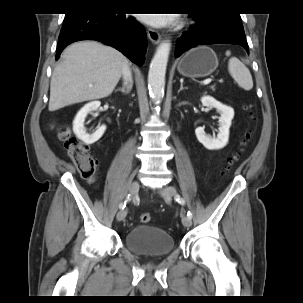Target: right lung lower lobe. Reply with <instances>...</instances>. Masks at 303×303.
<instances>
[{
	"mask_svg": "<svg viewBox=\"0 0 303 303\" xmlns=\"http://www.w3.org/2000/svg\"><path fill=\"white\" fill-rule=\"evenodd\" d=\"M80 40L110 45L139 66L143 64L147 48L145 29L134 18L95 8L66 14L56 60L67 45Z\"/></svg>",
	"mask_w": 303,
	"mask_h": 303,
	"instance_id": "1",
	"label": "right lung lower lobe"
}]
</instances>
